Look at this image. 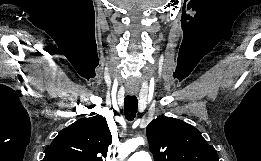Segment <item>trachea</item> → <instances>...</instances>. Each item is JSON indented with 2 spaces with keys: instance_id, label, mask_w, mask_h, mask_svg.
Segmentation results:
<instances>
[{
  "instance_id": "3493384b",
  "label": "trachea",
  "mask_w": 261,
  "mask_h": 161,
  "mask_svg": "<svg viewBox=\"0 0 261 161\" xmlns=\"http://www.w3.org/2000/svg\"><path fill=\"white\" fill-rule=\"evenodd\" d=\"M138 100L136 96H126L124 100V115L128 121H132L137 113Z\"/></svg>"
}]
</instances>
